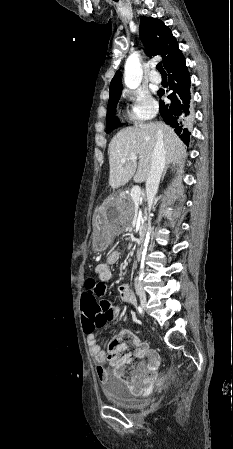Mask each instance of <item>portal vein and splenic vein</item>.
Masks as SVG:
<instances>
[{
    "label": "portal vein and splenic vein",
    "mask_w": 233,
    "mask_h": 449,
    "mask_svg": "<svg viewBox=\"0 0 233 449\" xmlns=\"http://www.w3.org/2000/svg\"><path fill=\"white\" fill-rule=\"evenodd\" d=\"M131 160L136 161L137 160V155L135 154H131L129 157ZM126 159L122 158L121 159V163H125ZM130 196L133 200V202L135 204H139V202L141 201V189L139 186H133L130 192Z\"/></svg>",
    "instance_id": "18ae733b"
}]
</instances>
